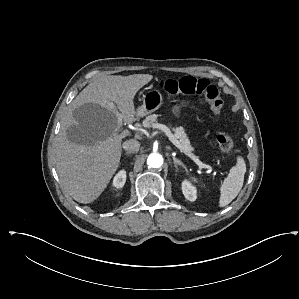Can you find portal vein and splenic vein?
Instances as JSON below:
<instances>
[{
	"mask_svg": "<svg viewBox=\"0 0 299 299\" xmlns=\"http://www.w3.org/2000/svg\"><path fill=\"white\" fill-rule=\"evenodd\" d=\"M110 107L111 108H115V104L114 103H110ZM117 116H118V124L119 126L121 125L122 123V119L120 118V115L119 113H117ZM154 128H157L161 131H163L167 137L169 138V140L177 147L179 148L181 151L185 152L190 158H192L194 160V162L199 166V168H206V169H210L212 170V167L209 166V165H206L204 163H202L195 155H193L192 153L190 152H187L182 146L181 144L179 143V141L177 140V138L172 134V132L169 130V128L163 124H155L154 125Z\"/></svg>",
	"mask_w": 299,
	"mask_h": 299,
	"instance_id": "obj_1",
	"label": "portal vein and splenic vein"
}]
</instances>
